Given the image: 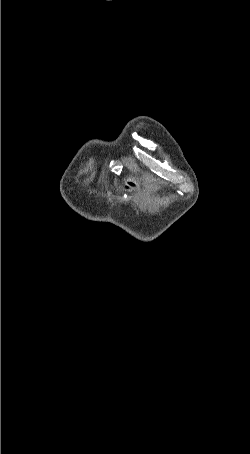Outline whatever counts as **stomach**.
<instances>
[{"label": "stomach", "mask_w": 250, "mask_h": 454, "mask_svg": "<svg viewBox=\"0 0 250 454\" xmlns=\"http://www.w3.org/2000/svg\"><path fill=\"white\" fill-rule=\"evenodd\" d=\"M141 184V182L136 178V183L135 185H126V183H124V186L123 187H136V186H139ZM125 191H130V190H125Z\"/></svg>", "instance_id": "1"}]
</instances>
